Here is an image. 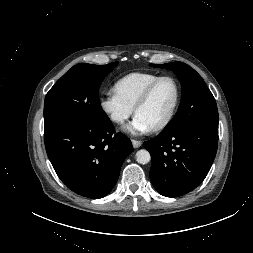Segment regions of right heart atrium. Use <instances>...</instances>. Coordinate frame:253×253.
<instances>
[{"mask_svg":"<svg viewBox=\"0 0 253 253\" xmlns=\"http://www.w3.org/2000/svg\"><path fill=\"white\" fill-rule=\"evenodd\" d=\"M99 106L109 119L118 124H123L132 114L133 108L127 105L115 91H108L99 98Z\"/></svg>","mask_w":253,"mask_h":253,"instance_id":"obj_1","label":"right heart atrium"}]
</instances>
